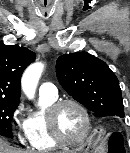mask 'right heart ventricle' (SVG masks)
Wrapping results in <instances>:
<instances>
[{
    "label": "right heart ventricle",
    "instance_id": "e07e8e85",
    "mask_svg": "<svg viewBox=\"0 0 130 153\" xmlns=\"http://www.w3.org/2000/svg\"><path fill=\"white\" fill-rule=\"evenodd\" d=\"M56 101L57 97L40 95V109L28 117L27 139L31 148L37 152H47L58 147L47 126V111Z\"/></svg>",
    "mask_w": 130,
    "mask_h": 153
}]
</instances>
